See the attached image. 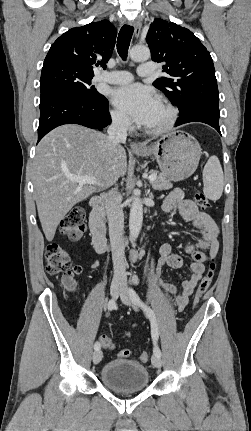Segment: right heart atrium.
Instances as JSON below:
<instances>
[{"instance_id": "d8ad5b80", "label": "right heart atrium", "mask_w": 251, "mask_h": 431, "mask_svg": "<svg viewBox=\"0 0 251 431\" xmlns=\"http://www.w3.org/2000/svg\"><path fill=\"white\" fill-rule=\"evenodd\" d=\"M111 120L114 126L122 130H129L132 126L130 119L118 110L111 111Z\"/></svg>"}]
</instances>
